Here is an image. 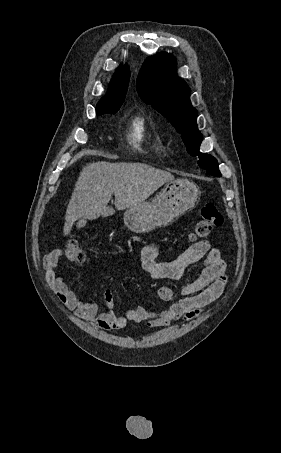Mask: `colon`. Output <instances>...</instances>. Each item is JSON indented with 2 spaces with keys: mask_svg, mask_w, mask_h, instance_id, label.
Here are the masks:
<instances>
[{
  "mask_svg": "<svg viewBox=\"0 0 281 453\" xmlns=\"http://www.w3.org/2000/svg\"><path fill=\"white\" fill-rule=\"evenodd\" d=\"M222 224L223 216L216 208V205L212 202L202 203L200 218L196 226V236L199 239H203ZM64 255L66 259L73 262H84L86 260V254L75 238H67L65 240Z\"/></svg>",
  "mask_w": 281,
  "mask_h": 453,
  "instance_id": "obj_1",
  "label": "colon"
}]
</instances>
